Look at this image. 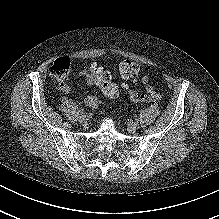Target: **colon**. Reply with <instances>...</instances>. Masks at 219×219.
<instances>
[{"instance_id": "obj_1", "label": "colon", "mask_w": 219, "mask_h": 219, "mask_svg": "<svg viewBox=\"0 0 219 219\" xmlns=\"http://www.w3.org/2000/svg\"><path fill=\"white\" fill-rule=\"evenodd\" d=\"M120 74L125 79H132L138 75L139 67L136 63L129 60H124L119 65ZM71 71V62L67 57L56 59L50 67V75L58 81L64 80ZM92 71L96 74V83L101 88L103 95L106 98H116L121 91H128L130 99L135 104H144L160 99V94L153 91L139 94L135 91H129L127 86L120 87L112 81V76L109 72L101 68H93Z\"/></svg>"}]
</instances>
